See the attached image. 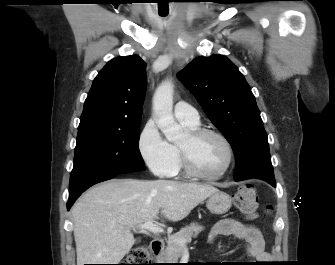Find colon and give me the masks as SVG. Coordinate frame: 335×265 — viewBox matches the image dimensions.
Instances as JSON below:
<instances>
[{"instance_id":"1","label":"colon","mask_w":335,"mask_h":265,"mask_svg":"<svg viewBox=\"0 0 335 265\" xmlns=\"http://www.w3.org/2000/svg\"><path fill=\"white\" fill-rule=\"evenodd\" d=\"M235 206L248 218L256 216L258 208L257 193L253 185L245 184L241 186L234 196ZM151 250L145 245H140L132 249L126 258V264L122 265H150Z\"/></svg>"}]
</instances>
